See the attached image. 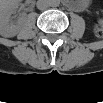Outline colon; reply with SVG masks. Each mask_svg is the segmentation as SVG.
<instances>
[{"mask_svg":"<svg viewBox=\"0 0 103 103\" xmlns=\"http://www.w3.org/2000/svg\"><path fill=\"white\" fill-rule=\"evenodd\" d=\"M94 34L96 37H101L103 34L102 24L99 21H97L94 25Z\"/></svg>","mask_w":103,"mask_h":103,"instance_id":"5ec220e1","label":"colon"}]
</instances>
